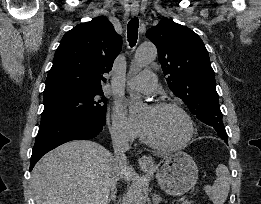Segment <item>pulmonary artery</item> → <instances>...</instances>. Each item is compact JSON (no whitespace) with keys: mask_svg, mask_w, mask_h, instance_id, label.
<instances>
[{"mask_svg":"<svg viewBox=\"0 0 261 204\" xmlns=\"http://www.w3.org/2000/svg\"><path fill=\"white\" fill-rule=\"evenodd\" d=\"M127 87L132 90L151 93L157 87V78L152 71H144L127 81Z\"/></svg>","mask_w":261,"mask_h":204,"instance_id":"1","label":"pulmonary artery"}]
</instances>
